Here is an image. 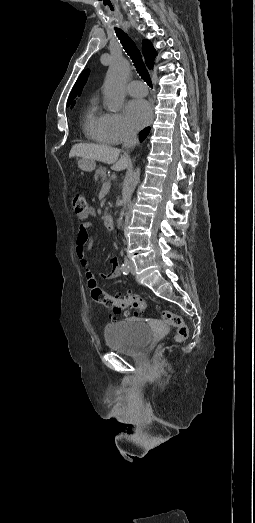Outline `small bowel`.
Instances as JSON below:
<instances>
[{"label": "small bowel", "mask_w": 255, "mask_h": 523, "mask_svg": "<svg viewBox=\"0 0 255 523\" xmlns=\"http://www.w3.org/2000/svg\"><path fill=\"white\" fill-rule=\"evenodd\" d=\"M96 215L93 208H88L86 212L78 214L80 219V225L78 228L77 240H76V255L81 265L86 268V277L89 280L92 278V273L89 270V262L86 257V251L90 250L93 246L92 240L89 238V230L92 227V222L86 220L87 218L94 217ZM109 265L111 270L108 273H101L100 276L103 279L114 280L120 276V268L116 257L109 259Z\"/></svg>", "instance_id": "1"}]
</instances>
